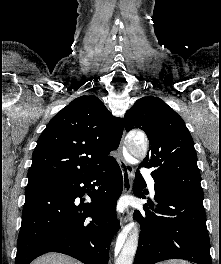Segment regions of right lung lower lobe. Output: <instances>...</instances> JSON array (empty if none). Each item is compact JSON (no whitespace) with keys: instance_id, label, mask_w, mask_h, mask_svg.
Listing matches in <instances>:
<instances>
[{"instance_id":"obj_1","label":"right lung lower lobe","mask_w":221,"mask_h":264,"mask_svg":"<svg viewBox=\"0 0 221 264\" xmlns=\"http://www.w3.org/2000/svg\"><path fill=\"white\" fill-rule=\"evenodd\" d=\"M122 189L115 159L87 175L26 188L15 264H29L47 252L84 264H108L110 243L119 230L116 201ZM85 193L92 202L78 204L76 198Z\"/></svg>"}]
</instances>
